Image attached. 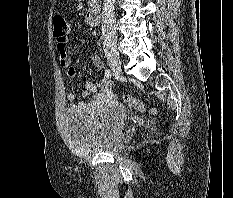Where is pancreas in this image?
Here are the masks:
<instances>
[{"instance_id": "pancreas-1", "label": "pancreas", "mask_w": 233, "mask_h": 198, "mask_svg": "<svg viewBox=\"0 0 233 198\" xmlns=\"http://www.w3.org/2000/svg\"><path fill=\"white\" fill-rule=\"evenodd\" d=\"M100 0H88V5L89 6H98Z\"/></svg>"}]
</instances>
